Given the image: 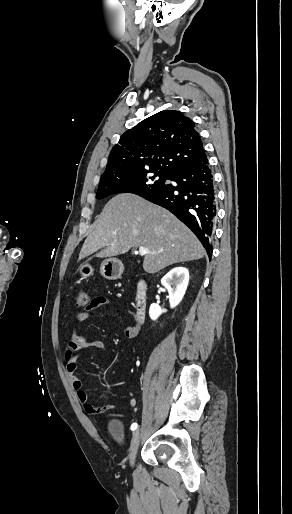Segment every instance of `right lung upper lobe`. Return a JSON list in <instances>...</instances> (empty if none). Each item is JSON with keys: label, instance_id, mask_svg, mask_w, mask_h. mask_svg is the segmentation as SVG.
Returning <instances> with one entry per match:
<instances>
[{"label": "right lung upper lobe", "instance_id": "right-lung-upper-lobe-1", "mask_svg": "<svg viewBox=\"0 0 292 514\" xmlns=\"http://www.w3.org/2000/svg\"><path fill=\"white\" fill-rule=\"evenodd\" d=\"M191 119L164 110L148 117L120 138L101 180L160 171L173 174L206 156Z\"/></svg>", "mask_w": 292, "mask_h": 514}]
</instances>
